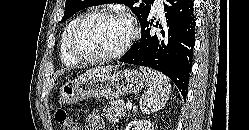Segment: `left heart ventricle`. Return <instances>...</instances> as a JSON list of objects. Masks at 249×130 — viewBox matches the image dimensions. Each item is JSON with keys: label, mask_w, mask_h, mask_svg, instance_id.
<instances>
[{"label": "left heart ventricle", "mask_w": 249, "mask_h": 130, "mask_svg": "<svg viewBox=\"0 0 249 130\" xmlns=\"http://www.w3.org/2000/svg\"><path fill=\"white\" fill-rule=\"evenodd\" d=\"M130 34L128 23L113 16H96L82 26L77 45L81 52L105 55L117 51Z\"/></svg>", "instance_id": "1"}]
</instances>
